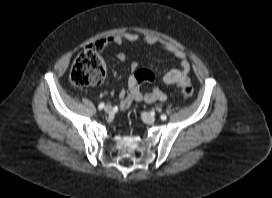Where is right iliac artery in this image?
Masks as SVG:
<instances>
[{"instance_id":"1","label":"right iliac artery","mask_w":272,"mask_h":198,"mask_svg":"<svg viewBox=\"0 0 272 198\" xmlns=\"http://www.w3.org/2000/svg\"><path fill=\"white\" fill-rule=\"evenodd\" d=\"M104 106H105V104L102 102V103L99 104L98 109L101 110V109L104 108Z\"/></svg>"}]
</instances>
